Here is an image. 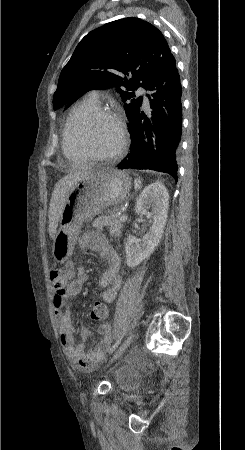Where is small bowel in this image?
Wrapping results in <instances>:
<instances>
[{
	"label": "small bowel",
	"mask_w": 245,
	"mask_h": 450,
	"mask_svg": "<svg viewBox=\"0 0 245 450\" xmlns=\"http://www.w3.org/2000/svg\"><path fill=\"white\" fill-rule=\"evenodd\" d=\"M79 243L82 247L90 248L106 260L107 267L99 278L98 286L103 289V301L111 304L122 285L118 253L100 231H87L81 236ZM50 277L53 287L54 317L64 352L80 371H91L110 347L112 336L110 324L104 321L98 327L101 338L93 349L87 350L86 347L85 340L90 336L87 329L83 330L84 340L82 342L76 344L74 341V328L68 311L69 302L80 293L84 283L88 280V273L83 267L76 270L70 269L67 274L55 269L51 271ZM65 283V292H62Z\"/></svg>",
	"instance_id": "obj_1"
}]
</instances>
